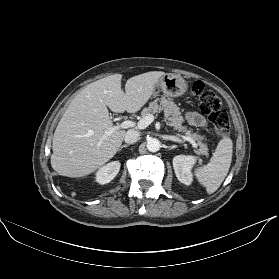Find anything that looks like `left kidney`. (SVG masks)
<instances>
[{"mask_svg": "<svg viewBox=\"0 0 279 279\" xmlns=\"http://www.w3.org/2000/svg\"><path fill=\"white\" fill-rule=\"evenodd\" d=\"M197 158L194 156L178 155L173 159V168L177 179L185 184L190 185L193 181L191 169L196 163Z\"/></svg>", "mask_w": 279, "mask_h": 279, "instance_id": "obj_1", "label": "left kidney"}]
</instances>
